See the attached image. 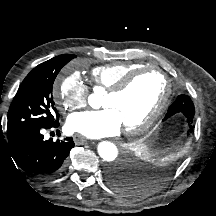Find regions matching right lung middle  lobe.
<instances>
[{
    "label": "right lung middle lobe",
    "mask_w": 216,
    "mask_h": 216,
    "mask_svg": "<svg viewBox=\"0 0 216 216\" xmlns=\"http://www.w3.org/2000/svg\"><path fill=\"white\" fill-rule=\"evenodd\" d=\"M75 55L63 54L48 61L35 72H30L21 83L8 112L7 133L53 125L59 119L52 96L54 80Z\"/></svg>",
    "instance_id": "obj_1"
}]
</instances>
